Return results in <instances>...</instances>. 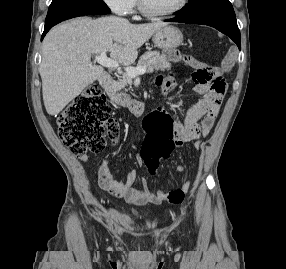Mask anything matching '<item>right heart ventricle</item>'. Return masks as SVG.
Wrapping results in <instances>:
<instances>
[{
	"label": "right heart ventricle",
	"mask_w": 286,
	"mask_h": 269,
	"mask_svg": "<svg viewBox=\"0 0 286 269\" xmlns=\"http://www.w3.org/2000/svg\"><path fill=\"white\" fill-rule=\"evenodd\" d=\"M135 3H136V0H134V5H135Z\"/></svg>",
	"instance_id": "1"
}]
</instances>
